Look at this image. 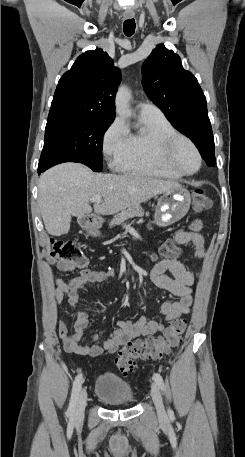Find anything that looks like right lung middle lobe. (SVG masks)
Returning <instances> with one entry per match:
<instances>
[{
	"label": "right lung middle lobe",
	"instance_id": "dd1d6c3e",
	"mask_svg": "<svg viewBox=\"0 0 245 457\" xmlns=\"http://www.w3.org/2000/svg\"><path fill=\"white\" fill-rule=\"evenodd\" d=\"M113 120L87 113H49L38 173L70 161L102 171L103 135Z\"/></svg>",
	"mask_w": 245,
	"mask_h": 457
}]
</instances>
